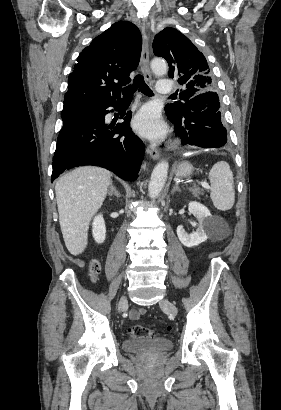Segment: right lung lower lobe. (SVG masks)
Listing matches in <instances>:
<instances>
[{
    "instance_id": "1",
    "label": "right lung lower lobe",
    "mask_w": 281,
    "mask_h": 410,
    "mask_svg": "<svg viewBox=\"0 0 281 410\" xmlns=\"http://www.w3.org/2000/svg\"><path fill=\"white\" fill-rule=\"evenodd\" d=\"M121 99L106 102L70 125L64 126L57 138L53 157L52 182L64 170L78 166L104 167L120 178L134 181L144 157L143 142L129 127L131 111L123 113V123L109 130L104 122L108 107L118 109Z\"/></svg>"
}]
</instances>
